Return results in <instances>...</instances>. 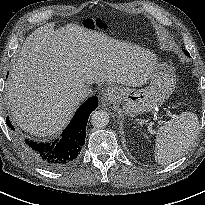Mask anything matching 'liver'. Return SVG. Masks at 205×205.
<instances>
[{
    "instance_id": "obj_1",
    "label": "liver",
    "mask_w": 205,
    "mask_h": 205,
    "mask_svg": "<svg viewBox=\"0 0 205 205\" xmlns=\"http://www.w3.org/2000/svg\"><path fill=\"white\" fill-rule=\"evenodd\" d=\"M156 58L129 43L75 23H49L27 37L6 84L12 121L38 137L53 136L69 122L80 100L74 91L100 82L142 86Z\"/></svg>"
}]
</instances>
